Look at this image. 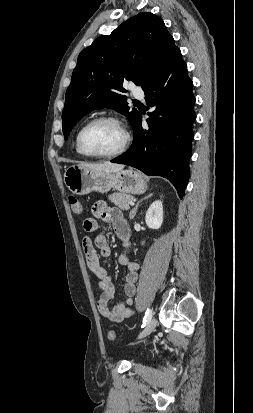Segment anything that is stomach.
<instances>
[{
	"mask_svg": "<svg viewBox=\"0 0 253 413\" xmlns=\"http://www.w3.org/2000/svg\"><path fill=\"white\" fill-rule=\"evenodd\" d=\"M64 183L71 193L77 195H86L93 191L106 193L111 189L125 194H142L147 189L143 175L133 169L99 172L79 165L65 170Z\"/></svg>",
	"mask_w": 253,
	"mask_h": 413,
	"instance_id": "obj_1",
	"label": "stomach"
}]
</instances>
